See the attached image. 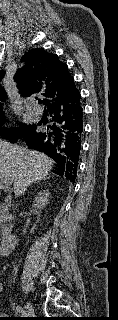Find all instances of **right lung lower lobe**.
I'll use <instances>...</instances> for the list:
<instances>
[{"label": "right lung lower lobe", "mask_w": 118, "mask_h": 320, "mask_svg": "<svg viewBox=\"0 0 118 320\" xmlns=\"http://www.w3.org/2000/svg\"><path fill=\"white\" fill-rule=\"evenodd\" d=\"M80 92L57 97L47 104L51 119L47 129L23 137L29 148L44 152L56 161L54 173L75 182L83 132V112Z\"/></svg>", "instance_id": "obj_1"}]
</instances>
